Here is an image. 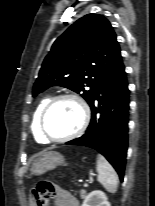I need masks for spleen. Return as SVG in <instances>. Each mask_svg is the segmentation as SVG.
<instances>
[{
  "label": "spleen",
  "instance_id": "3e777b00",
  "mask_svg": "<svg viewBox=\"0 0 155 206\" xmlns=\"http://www.w3.org/2000/svg\"><path fill=\"white\" fill-rule=\"evenodd\" d=\"M98 182L110 193L118 188V176L110 163L102 156H97Z\"/></svg>",
  "mask_w": 155,
  "mask_h": 206
}]
</instances>
